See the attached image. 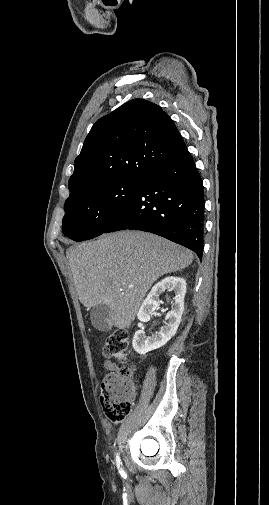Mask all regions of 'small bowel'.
Segmentation results:
<instances>
[{
  "mask_svg": "<svg viewBox=\"0 0 269 505\" xmlns=\"http://www.w3.org/2000/svg\"><path fill=\"white\" fill-rule=\"evenodd\" d=\"M105 366H106V368H107L108 370H110V371H114V370H116V368H117V366H116L113 362H110V361H107V362L105 363Z\"/></svg>",
  "mask_w": 269,
  "mask_h": 505,
  "instance_id": "small-bowel-1",
  "label": "small bowel"
}]
</instances>
